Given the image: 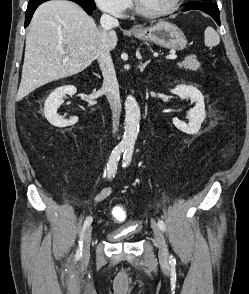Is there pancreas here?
<instances>
[{"label":"pancreas","mask_w":249,"mask_h":294,"mask_svg":"<svg viewBox=\"0 0 249 294\" xmlns=\"http://www.w3.org/2000/svg\"><path fill=\"white\" fill-rule=\"evenodd\" d=\"M179 68L186 70L197 71L200 68V63L197 61L196 56L191 55L184 59V61L178 63Z\"/></svg>","instance_id":"obj_1"}]
</instances>
